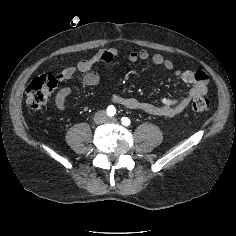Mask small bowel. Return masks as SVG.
<instances>
[{"label":"small bowel","instance_id":"obj_1","mask_svg":"<svg viewBox=\"0 0 236 236\" xmlns=\"http://www.w3.org/2000/svg\"><path fill=\"white\" fill-rule=\"evenodd\" d=\"M123 56L129 61H151L155 66L172 70L174 64L171 60L166 59L161 54H154L150 56L149 52L145 49L139 51L125 50L120 51L115 48H103L90 58L83 59L77 63L76 66L65 68L61 75V84L64 85L76 72L84 73L82 82L86 86H97L101 82L100 76L92 71V68L100 62H111L116 57ZM174 75L179 78L183 83L190 86L187 93L180 97H163L161 105H155L146 101H140L136 98L123 97L119 94L111 95V101L114 104L122 105L128 109L140 110L144 113L162 116L174 117L182 113L190 104V102L207 93V85L209 82L208 75L202 70H185L175 71ZM72 89L68 86H63L55 96V105L59 110H64L66 107V100L71 95Z\"/></svg>","mask_w":236,"mask_h":236}]
</instances>
